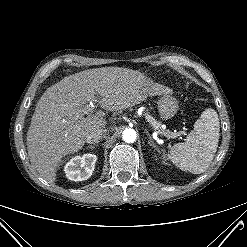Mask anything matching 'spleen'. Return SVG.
<instances>
[{
  "label": "spleen",
  "instance_id": "spleen-1",
  "mask_svg": "<svg viewBox=\"0 0 247 247\" xmlns=\"http://www.w3.org/2000/svg\"><path fill=\"white\" fill-rule=\"evenodd\" d=\"M219 124L217 112L211 108L205 109L185 142L175 144L166 158L183 171L203 173L217 151Z\"/></svg>",
  "mask_w": 247,
  "mask_h": 247
}]
</instances>
